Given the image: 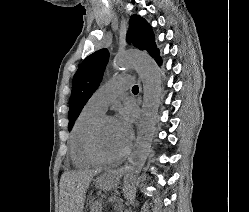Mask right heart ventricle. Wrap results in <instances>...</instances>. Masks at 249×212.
I'll use <instances>...</instances> for the list:
<instances>
[{
  "label": "right heart ventricle",
  "mask_w": 249,
  "mask_h": 212,
  "mask_svg": "<svg viewBox=\"0 0 249 212\" xmlns=\"http://www.w3.org/2000/svg\"><path fill=\"white\" fill-rule=\"evenodd\" d=\"M102 114V111L87 102L75 119L69 137L68 148L70 161L77 168H89L96 164L87 151L86 141L92 124Z\"/></svg>",
  "instance_id": "1"
}]
</instances>
